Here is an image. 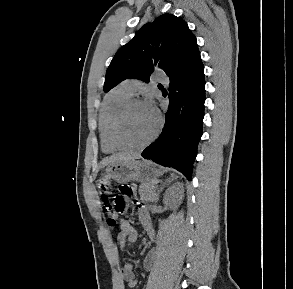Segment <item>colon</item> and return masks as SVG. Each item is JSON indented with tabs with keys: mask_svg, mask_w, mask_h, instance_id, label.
Returning <instances> with one entry per match:
<instances>
[{
	"mask_svg": "<svg viewBox=\"0 0 293 289\" xmlns=\"http://www.w3.org/2000/svg\"><path fill=\"white\" fill-rule=\"evenodd\" d=\"M102 212L106 216L109 226L115 227L117 224V215L125 213L130 204L134 201V186L132 184H123L119 186L118 193L115 195L113 202H109L106 195L102 196Z\"/></svg>",
	"mask_w": 293,
	"mask_h": 289,
	"instance_id": "5ec220e1",
	"label": "colon"
}]
</instances>
